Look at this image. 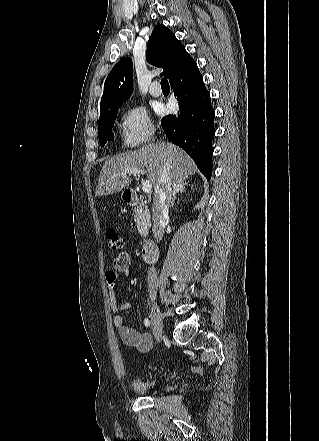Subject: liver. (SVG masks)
<instances>
[{
  "mask_svg": "<svg viewBox=\"0 0 319 441\" xmlns=\"http://www.w3.org/2000/svg\"><path fill=\"white\" fill-rule=\"evenodd\" d=\"M166 162L169 164V177L173 185L182 183L198 171L193 160L179 147L170 144H149L136 151L110 157L100 171L95 195L100 197L116 194L128 187L131 174H125L124 171L130 168H146L147 178L156 191L163 185ZM114 173L121 175L115 176Z\"/></svg>",
  "mask_w": 319,
  "mask_h": 441,
  "instance_id": "obj_1",
  "label": "liver"
}]
</instances>
